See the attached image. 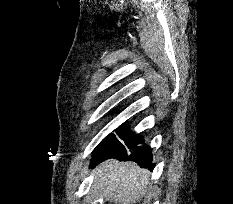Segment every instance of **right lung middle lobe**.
<instances>
[{
    "label": "right lung middle lobe",
    "instance_id": "right-lung-middle-lobe-1",
    "mask_svg": "<svg viewBox=\"0 0 233 204\" xmlns=\"http://www.w3.org/2000/svg\"><path fill=\"white\" fill-rule=\"evenodd\" d=\"M116 133L119 138L124 141L123 143L115 136V134H109L98 147L109 151H121L130 150L145 142L142 136L136 135L134 132H130L127 126H120Z\"/></svg>",
    "mask_w": 233,
    "mask_h": 204
}]
</instances>
